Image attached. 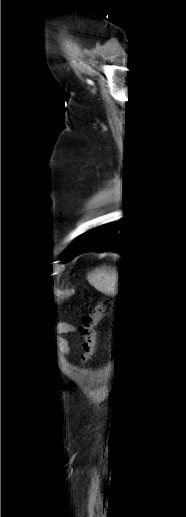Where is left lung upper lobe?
<instances>
[{
    "mask_svg": "<svg viewBox=\"0 0 186 517\" xmlns=\"http://www.w3.org/2000/svg\"><path fill=\"white\" fill-rule=\"evenodd\" d=\"M93 232V229L87 231L86 233L82 234L71 246L70 249L65 253L63 256L64 261H69L74 253L78 251L81 247L84 246V244L89 240Z\"/></svg>",
    "mask_w": 186,
    "mask_h": 517,
    "instance_id": "obj_1",
    "label": "left lung upper lobe"
}]
</instances>
